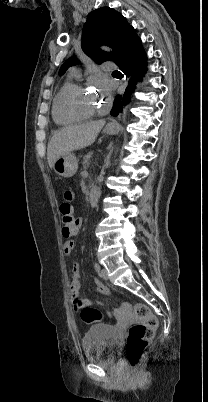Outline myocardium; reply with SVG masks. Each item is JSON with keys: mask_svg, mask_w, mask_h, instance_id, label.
<instances>
[{"mask_svg": "<svg viewBox=\"0 0 208 402\" xmlns=\"http://www.w3.org/2000/svg\"><path fill=\"white\" fill-rule=\"evenodd\" d=\"M84 92V87L76 85L73 87L65 97L64 106L71 115L81 118L90 117L98 110V104L93 108L85 110L82 109L77 102L78 97Z\"/></svg>", "mask_w": 208, "mask_h": 402, "instance_id": "obj_1", "label": "myocardium"}]
</instances>
